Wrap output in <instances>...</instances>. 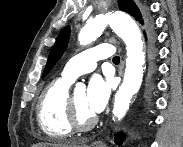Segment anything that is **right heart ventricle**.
<instances>
[{
    "mask_svg": "<svg viewBox=\"0 0 183 147\" xmlns=\"http://www.w3.org/2000/svg\"><path fill=\"white\" fill-rule=\"evenodd\" d=\"M72 81L63 77L49 83L37 105V120L42 131L52 139H63L73 134L69 121L68 99Z\"/></svg>",
    "mask_w": 183,
    "mask_h": 147,
    "instance_id": "e07e8e85",
    "label": "right heart ventricle"
}]
</instances>
